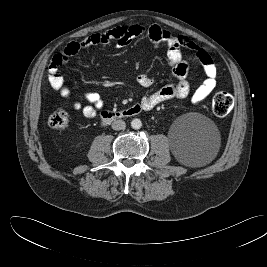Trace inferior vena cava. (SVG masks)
<instances>
[{
	"label": "inferior vena cava",
	"instance_id": "602c4592",
	"mask_svg": "<svg viewBox=\"0 0 267 267\" xmlns=\"http://www.w3.org/2000/svg\"><path fill=\"white\" fill-rule=\"evenodd\" d=\"M125 127H126V124L123 120H115L112 123V129L113 130H123V129H125Z\"/></svg>",
	"mask_w": 267,
	"mask_h": 267
}]
</instances>
